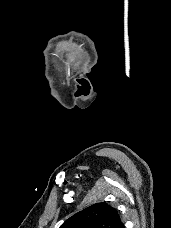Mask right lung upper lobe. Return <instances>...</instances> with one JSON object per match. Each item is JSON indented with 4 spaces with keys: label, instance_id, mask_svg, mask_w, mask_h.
I'll return each instance as SVG.
<instances>
[{
    "label": "right lung upper lobe",
    "instance_id": "obj_1",
    "mask_svg": "<svg viewBox=\"0 0 171 228\" xmlns=\"http://www.w3.org/2000/svg\"><path fill=\"white\" fill-rule=\"evenodd\" d=\"M59 228H125L117 210L106 203H96L76 213Z\"/></svg>",
    "mask_w": 171,
    "mask_h": 228
}]
</instances>
